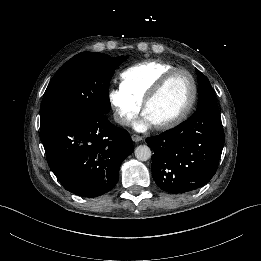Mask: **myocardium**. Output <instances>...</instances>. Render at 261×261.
Masks as SVG:
<instances>
[{
  "instance_id": "obj_1",
  "label": "myocardium",
  "mask_w": 261,
  "mask_h": 261,
  "mask_svg": "<svg viewBox=\"0 0 261 261\" xmlns=\"http://www.w3.org/2000/svg\"><path fill=\"white\" fill-rule=\"evenodd\" d=\"M177 73H183L189 78L191 86H192L191 98H190L188 104L186 105V107L183 109V111L179 115H177L176 117H174L170 120H167L165 122L153 124L154 127L158 130H167V129H171V128L179 125L181 122H183L187 118V116L190 114V112L192 111V109L195 105L196 98H197V84H196L194 77L192 76V74L189 71H187L185 69L175 68L173 70L166 72L153 85V87L151 88L149 93L146 95V97L143 100V104H142L143 114H145L147 107L160 95V93L164 90V88L167 86V84L172 79V77Z\"/></svg>"
}]
</instances>
